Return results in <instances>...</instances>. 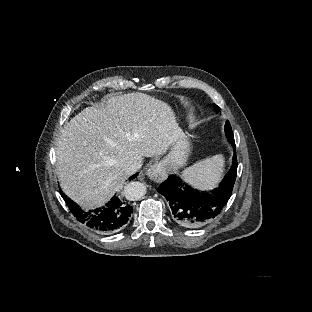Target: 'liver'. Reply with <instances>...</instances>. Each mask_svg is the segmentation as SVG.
Masks as SVG:
<instances>
[{
	"instance_id": "obj_1",
	"label": "liver",
	"mask_w": 312,
	"mask_h": 312,
	"mask_svg": "<svg viewBox=\"0 0 312 312\" xmlns=\"http://www.w3.org/2000/svg\"><path fill=\"white\" fill-rule=\"evenodd\" d=\"M181 132L161 100L140 92L107 97L73 117L56 140L60 187L85 211L104 206L135 160L166 153Z\"/></svg>"
}]
</instances>
